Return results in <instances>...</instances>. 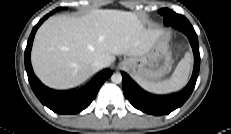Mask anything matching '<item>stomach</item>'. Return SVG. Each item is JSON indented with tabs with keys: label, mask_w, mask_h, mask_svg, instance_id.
<instances>
[{
	"label": "stomach",
	"mask_w": 231,
	"mask_h": 134,
	"mask_svg": "<svg viewBox=\"0 0 231 134\" xmlns=\"http://www.w3.org/2000/svg\"><path fill=\"white\" fill-rule=\"evenodd\" d=\"M170 34H163L149 48L139 56L125 58L121 66L137 81L155 82L164 77L172 65V53L169 49Z\"/></svg>",
	"instance_id": "obj_1"
}]
</instances>
